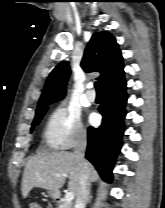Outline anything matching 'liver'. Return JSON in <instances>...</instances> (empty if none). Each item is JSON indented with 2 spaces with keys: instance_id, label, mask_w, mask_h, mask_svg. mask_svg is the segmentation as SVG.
<instances>
[{
  "instance_id": "1",
  "label": "liver",
  "mask_w": 165,
  "mask_h": 208,
  "mask_svg": "<svg viewBox=\"0 0 165 208\" xmlns=\"http://www.w3.org/2000/svg\"><path fill=\"white\" fill-rule=\"evenodd\" d=\"M85 162L89 180L91 182L98 180L99 175L93 165L86 160ZM56 174L60 176L56 177ZM66 177H69V191L77 197L80 188L79 170L72 153L39 151L30 157L25 165L21 188L22 196L26 198L34 187L59 193Z\"/></svg>"
}]
</instances>
